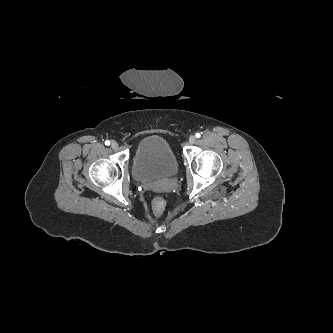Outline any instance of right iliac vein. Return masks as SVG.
<instances>
[{"label": "right iliac vein", "instance_id": "right-iliac-vein-1", "mask_svg": "<svg viewBox=\"0 0 333 333\" xmlns=\"http://www.w3.org/2000/svg\"><path fill=\"white\" fill-rule=\"evenodd\" d=\"M111 148L112 149H117L118 148V143L116 141L111 142Z\"/></svg>", "mask_w": 333, "mask_h": 333}]
</instances>
